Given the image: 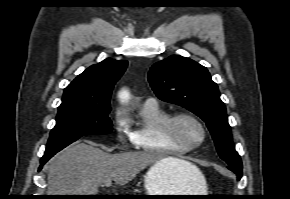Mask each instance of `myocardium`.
I'll use <instances>...</instances> for the list:
<instances>
[{"mask_svg": "<svg viewBox=\"0 0 290 199\" xmlns=\"http://www.w3.org/2000/svg\"><path fill=\"white\" fill-rule=\"evenodd\" d=\"M187 120L195 123L202 132V137L198 142L190 143L184 140L177 132L176 126L180 121ZM163 135L175 146L181 147L186 151L200 147L207 139V129L204 123L195 115L187 112H179L170 115L163 125Z\"/></svg>", "mask_w": 290, "mask_h": 199, "instance_id": "myocardium-1", "label": "myocardium"}]
</instances>
